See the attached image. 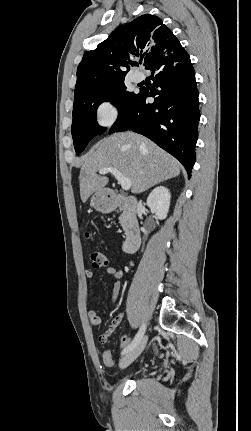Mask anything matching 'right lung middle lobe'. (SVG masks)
I'll use <instances>...</instances> for the list:
<instances>
[{
    "instance_id": "dd1d6c3e",
    "label": "right lung middle lobe",
    "mask_w": 251,
    "mask_h": 431,
    "mask_svg": "<svg viewBox=\"0 0 251 431\" xmlns=\"http://www.w3.org/2000/svg\"><path fill=\"white\" fill-rule=\"evenodd\" d=\"M135 93L126 91L124 80L106 87L84 92L74 96L73 121L71 133L77 155H80L88 142L105 131L96 121V110L102 102H111L118 108L119 114L135 97Z\"/></svg>"
}]
</instances>
